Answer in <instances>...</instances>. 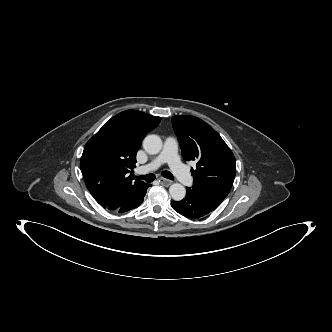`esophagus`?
<instances>
[{
    "instance_id": "esophagus-1",
    "label": "esophagus",
    "mask_w": 332,
    "mask_h": 332,
    "mask_svg": "<svg viewBox=\"0 0 332 332\" xmlns=\"http://www.w3.org/2000/svg\"><path fill=\"white\" fill-rule=\"evenodd\" d=\"M159 182L162 184V185H165V186H169L172 181L168 180V179H165V178H160L159 179Z\"/></svg>"
}]
</instances>
